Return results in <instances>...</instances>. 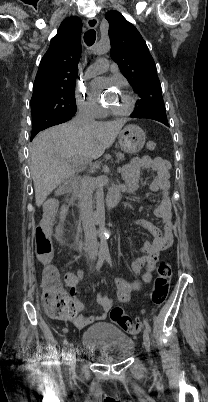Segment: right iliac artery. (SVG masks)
<instances>
[{
  "label": "right iliac artery",
  "mask_w": 208,
  "mask_h": 402,
  "mask_svg": "<svg viewBox=\"0 0 208 402\" xmlns=\"http://www.w3.org/2000/svg\"><path fill=\"white\" fill-rule=\"evenodd\" d=\"M104 260H105V255L100 254L99 258H98V261H97V264H96V270L97 271L102 267ZM63 350H64V352H66L68 350V341H67L66 338L63 341Z\"/></svg>",
  "instance_id": "obj_1"
}]
</instances>
